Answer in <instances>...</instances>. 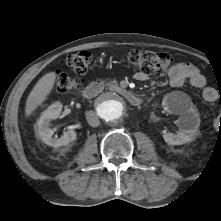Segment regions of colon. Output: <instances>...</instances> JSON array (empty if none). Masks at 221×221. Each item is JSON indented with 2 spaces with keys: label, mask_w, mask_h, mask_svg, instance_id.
Listing matches in <instances>:
<instances>
[{
  "label": "colon",
  "mask_w": 221,
  "mask_h": 221,
  "mask_svg": "<svg viewBox=\"0 0 221 221\" xmlns=\"http://www.w3.org/2000/svg\"><path fill=\"white\" fill-rule=\"evenodd\" d=\"M127 59L129 63L146 75H163L172 62L171 55L161 52L131 50ZM92 62V53L89 50H82L72 54L67 59L68 66L78 75L85 74ZM82 86L80 79L68 74L57 72L55 87L60 93H72ZM221 104V97H220Z\"/></svg>",
  "instance_id": "obj_1"
}]
</instances>
